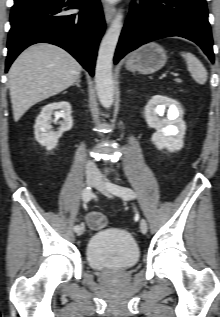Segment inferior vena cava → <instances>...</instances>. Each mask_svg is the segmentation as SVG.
<instances>
[{"label":"inferior vena cava","mask_w":220,"mask_h":317,"mask_svg":"<svg viewBox=\"0 0 220 317\" xmlns=\"http://www.w3.org/2000/svg\"><path fill=\"white\" fill-rule=\"evenodd\" d=\"M86 170L87 172H96L98 171L96 165L94 162L92 161H88L87 164H86Z\"/></svg>","instance_id":"602c4592"}]
</instances>
